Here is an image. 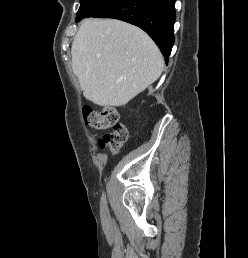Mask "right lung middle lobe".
Returning <instances> with one entry per match:
<instances>
[{
  "label": "right lung middle lobe",
  "instance_id": "1",
  "mask_svg": "<svg viewBox=\"0 0 248 258\" xmlns=\"http://www.w3.org/2000/svg\"><path fill=\"white\" fill-rule=\"evenodd\" d=\"M114 1L115 0H80V8L77 12L76 21L96 15Z\"/></svg>",
  "mask_w": 248,
  "mask_h": 258
}]
</instances>
